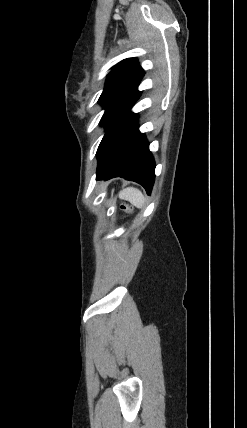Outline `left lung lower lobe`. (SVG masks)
Listing matches in <instances>:
<instances>
[{
    "label": "left lung lower lobe",
    "instance_id": "1",
    "mask_svg": "<svg viewBox=\"0 0 247 428\" xmlns=\"http://www.w3.org/2000/svg\"><path fill=\"white\" fill-rule=\"evenodd\" d=\"M136 97L119 109L106 123V133L98 147L96 179L123 177L141 184L151 193L155 162L149 143L137 126V115L130 111Z\"/></svg>",
    "mask_w": 247,
    "mask_h": 428
}]
</instances>
